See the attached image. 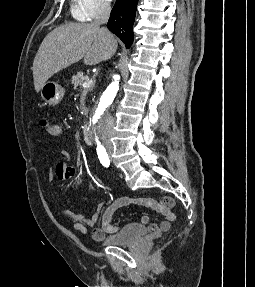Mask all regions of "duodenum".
<instances>
[{
  "instance_id": "1",
  "label": "duodenum",
  "mask_w": 255,
  "mask_h": 287,
  "mask_svg": "<svg viewBox=\"0 0 255 287\" xmlns=\"http://www.w3.org/2000/svg\"><path fill=\"white\" fill-rule=\"evenodd\" d=\"M82 138H83L85 143H87V144L92 143L91 133H90V129L88 127H84L82 129Z\"/></svg>"
}]
</instances>
